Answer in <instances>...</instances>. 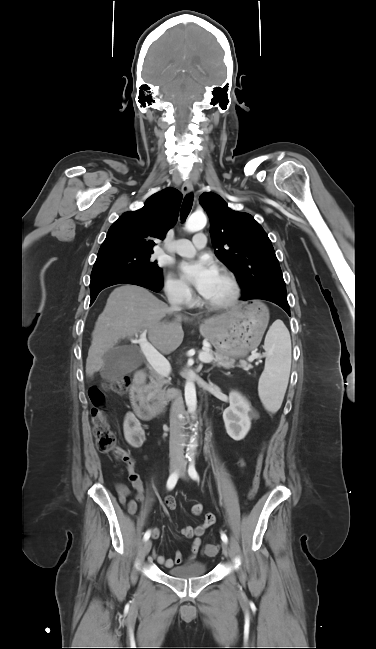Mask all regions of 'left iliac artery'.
I'll return each instance as SVG.
<instances>
[{
  "mask_svg": "<svg viewBox=\"0 0 376 649\" xmlns=\"http://www.w3.org/2000/svg\"><path fill=\"white\" fill-rule=\"evenodd\" d=\"M189 461H190V465H189V468H188L189 476L194 480H199V476H198V473H197V471L195 469L193 458H190ZM221 539L225 543L228 542V538H227V535L225 533H221Z\"/></svg>",
  "mask_w": 376,
  "mask_h": 649,
  "instance_id": "obj_1",
  "label": "left iliac artery"
}]
</instances>
